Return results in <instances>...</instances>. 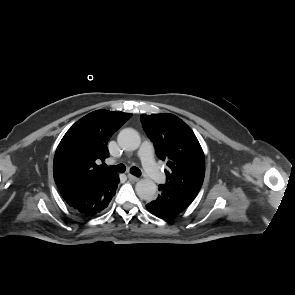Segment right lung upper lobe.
I'll use <instances>...</instances> for the list:
<instances>
[{
  "instance_id": "cb5924a9",
  "label": "right lung upper lobe",
  "mask_w": 295,
  "mask_h": 295,
  "mask_svg": "<svg viewBox=\"0 0 295 295\" xmlns=\"http://www.w3.org/2000/svg\"><path fill=\"white\" fill-rule=\"evenodd\" d=\"M131 116L120 111L96 110L66 132L53 163L54 180L60 192L88 188L116 174L98 164L109 156L110 137Z\"/></svg>"
}]
</instances>
